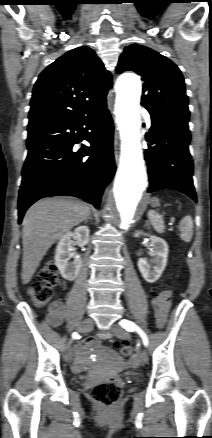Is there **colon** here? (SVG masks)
<instances>
[{
    "label": "colon",
    "mask_w": 212,
    "mask_h": 438,
    "mask_svg": "<svg viewBox=\"0 0 212 438\" xmlns=\"http://www.w3.org/2000/svg\"><path fill=\"white\" fill-rule=\"evenodd\" d=\"M59 281L58 269L54 263L46 264L39 272L38 280L31 283L27 289V293L36 306L42 307L49 303L52 298L54 287ZM162 292L154 289L152 291L153 298L158 297ZM115 347L120 349L123 356H129L132 348L129 344L123 342H115ZM122 390L117 382L108 380L94 386L91 390V396L94 400L105 407H111L115 404Z\"/></svg>",
    "instance_id": "1"
}]
</instances>
